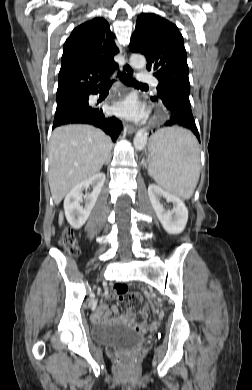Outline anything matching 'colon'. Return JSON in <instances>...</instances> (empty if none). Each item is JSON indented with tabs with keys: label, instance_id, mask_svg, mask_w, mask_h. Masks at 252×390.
I'll list each match as a JSON object with an SVG mask.
<instances>
[{
	"label": "colon",
	"instance_id": "obj_1",
	"mask_svg": "<svg viewBox=\"0 0 252 390\" xmlns=\"http://www.w3.org/2000/svg\"><path fill=\"white\" fill-rule=\"evenodd\" d=\"M61 246L72 256L76 257L79 253V249L77 246V240L74 235V232L71 229H66L63 232L62 238H61ZM128 288L125 284H116L114 286V291L117 294L124 295L127 292ZM130 298L133 300H140L141 295L137 292H132L130 294Z\"/></svg>",
	"mask_w": 252,
	"mask_h": 390
}]
</instances>
